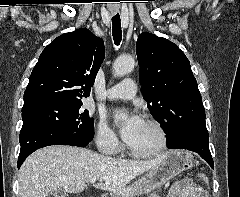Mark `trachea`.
Here are the masks:
<instances>
[{"instance_id": "trachea-1", "label": "trachea", "mask_w": 240, "mask_h": 197, "mask_svg": "<svg viewBox=\"0 0 240 197\" xmlns=\"http://www.w3.org/2000/svg\"><path fill=\"white\" fill-rule=\"evenodd\" d=\"M112 33L115 44L119 45L122 39V29L119 14L112 17Z\"/></svg>"}]
</instances>
